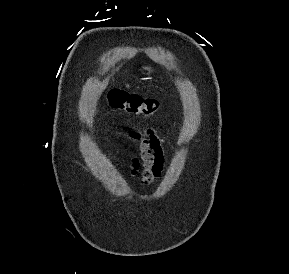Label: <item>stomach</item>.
Here are the masks:
<instances>
[{"instance_id":"0dacf381","label":"stomach","mask_w":289,"mask_h":274,"mask_svg":"<svg viewBox=\"0 0 289 274\" xmlns=\"http://www.w3.org/2000/svg\"><path fill=\"white\" fill-rule=\"evenodd\" d=\"M140 71L144 75L151 76L152 74H154L155 69L152 68L151 66L144 65L141 67Z\"/></svg>"}]
</instances>
